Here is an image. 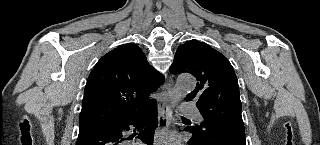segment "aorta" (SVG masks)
<instances>
[{
  "label": "aorta",
  "mask_w": 320,
  "mask_h": 145,
  "mask_svg": "<svg viewBox=\"0 0 320 145\" xmlns=\"http://www.w3.org/2000/svg\"><path fill=\"white\" fill-rule=\"evenodd\" d=\"M195 86L196 80L193 76L187 74L180 75L177 78L171 98L176 102L182 97L186 96L188 92L192 91Z\"/></svg>",
  "instance_id": "762f6f07"
}]
</instances>
